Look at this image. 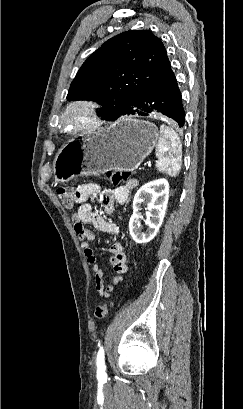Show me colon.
<instances>
[{"label": "colon", "mask_w": 243, "mask_h": 409, "mask_svg": "<svg viewBox=\"0 0 243 409\" xmlns=\"http://www.w3.org/2000/svg\"><path fill=\"white\" fill-rule=\"evenodd\" d=\"M130 175L131 173L126 170H113L108 173V178L112 183L117 184L121 181L128 180L130 178ZM56 193L63 206L68 210H73L79 203L76 190H73L71 187L60 186L57 188ZM112 305V301L98 305L95 308V317L99 320L104 319L107 316L109 308Z\"/></svg>", "instance_id": "colon-1"}]
</instances>
